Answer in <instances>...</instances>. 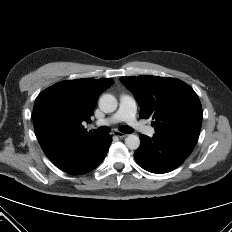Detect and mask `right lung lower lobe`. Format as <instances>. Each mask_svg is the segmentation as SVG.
<instances>
[{"label":"right lung lower lobe","instance_id":"obj_1","mask_svg":"<svg viewBox=\"0 0 232 232\" xmlns=\"http://www.w3.org/2000/svg\"><path fill=\"white\" fill-rule=\"evenodd\" d=\"M111 142L110 135H96L84 144L61 149L48 158L65 172L84 174L95 169L104 160Z\"/></svg>","mask_w":232,"mask_h":232}]
</instances>
